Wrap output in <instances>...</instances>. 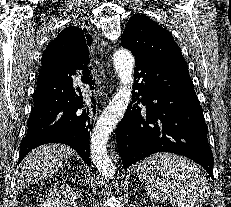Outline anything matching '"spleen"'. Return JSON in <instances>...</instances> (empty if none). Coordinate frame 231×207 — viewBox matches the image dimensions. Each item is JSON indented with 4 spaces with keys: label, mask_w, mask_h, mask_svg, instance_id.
Instances as JSON below:
<instances>
[{
    "label": "spleen",
    "mask_w": 231,
    "mask_h": 207,
    "mask_svg": "<svg viewBox=\"0 0 231 207\" xmlns=\"http://www.w3.org/2000/svg\"><path fill=\"white\" fill-rule=\"evenodd\" d=\"M137 175L152 200H168L173 207H198L210 193L196 164L170 153L149 156L139 164Z\"/></svg>",
    "instance_id": "spleen-1"
}]
</instances>
